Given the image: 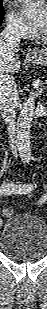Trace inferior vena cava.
<instances>
[{"instance_id": "602c4592", "label": "inferior vena cava", "mask_w": 47, "mask_h": 309, "mask_svg": "<svg viewBox=\"0 0 47 309\" xmlns=\"http://www.w3.org/2000/svg\"><path fill=\"white\" fill-rule=\"evenodd\" d=\"M21 33V25L14 21H9L0 34L1 43L18 47L21 41ZM17 103L18 91L14 78L9 73H3L0 77V109L1 116L8 124L10 130L15 127Z\"/></svg>"}]
</instances>
